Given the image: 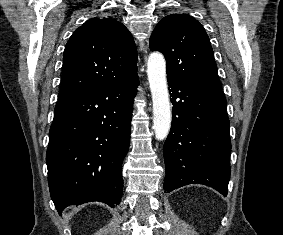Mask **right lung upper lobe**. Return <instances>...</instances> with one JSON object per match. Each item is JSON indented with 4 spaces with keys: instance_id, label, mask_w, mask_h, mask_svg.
Masks as SVG:
<instances>
[{
    "instance_id": "1",
    "label": "right lung upper lobe",
    "mask_w": 283,
    "mask_h": 235,
    "mask_svg": "<svg viewBox=\"0 0 283 235\" xmlns=\"http://www.w3.org/2000/svg\"><path fill=\"white\" fill-rule=\"evenodd\" d=\"M136 63L133 37L122 23L111 17L89 19L66 44L58 100L130 77Z\"/></svg>"
}]
</instances>
